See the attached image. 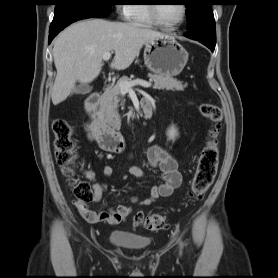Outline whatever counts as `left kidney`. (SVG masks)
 <instances>
[{"label": "left kidney", "mask_w": 278, "mask_h": 278, "mask_svg": "<svg viewBox=\"0 0 278 278\" xmlns=\"http://www.w3.org/2000/svg\"><path fill=\"white\" fill-rule=\"evenodd\" d=\"M167 135L170 139H174L178 135L177 129L174 126H171L167 131Z\"/></svg>", "instance_id": "obj_1"}]
</instances>
